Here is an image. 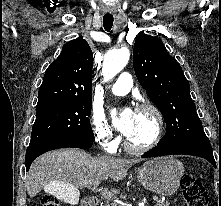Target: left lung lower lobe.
Returning <instances> with one entry per match:
<instances>
[{"label": "left lung lower lobe", "mask_w": 221, "mask_h": 206, "mask_svg": "<svg viewBox=\"0 0 221 206\" xmlns=\"http://www.w3.org/2000/svg\"><path fill=\"white\" fill-rule=\"evenodd\" d=\"M171 154H185L199 156L207 159L213 166L216 168V162L214 160L212 148L210 143H182V144H166V145H157L152 148L144 155L143 158L156 157L162 155H171ZM220 169V161H219Z\"/></svg>", "instance_id": "0a47b994"}]
</instances>
